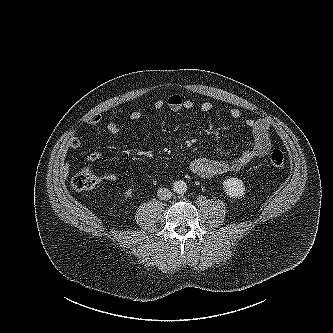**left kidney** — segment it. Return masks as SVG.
Masks as SVG:
<instances>
[{"label": "left kidney", "mask_w": 333, "mask_h": 333, "mask_svg": "<svg viewBox=\"0 0 333 333\" xmlns=\"http://www.w3.org/2000/svg\"><path fill=\"white\" fill-rule=\"evenodd\" d=\"M223 187L226 194L232 198H240L245 194L244 183L238 178L232 177L224 180Z\"/></svg>", "instance_id": "left-kidney-1"}]
</instances>
